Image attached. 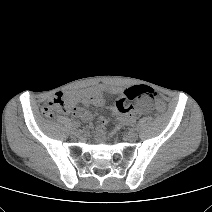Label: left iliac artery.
<instances>
[{
    "mask_svg": "<svg viewBox=\"0 0 212 212\" xmlns=\"http://www.w3.org/2000/svg\"><path fill=\"white\" fill-rule=\"evenodd\" d=\"M135 130H138V126L137 125L135 126Z\"/></svg>",
    "mask_w": 212,
    "mask_h": 212,
    "instance_id": "44dca946",
    "label": "left iliac artery"
}]
</instances>
